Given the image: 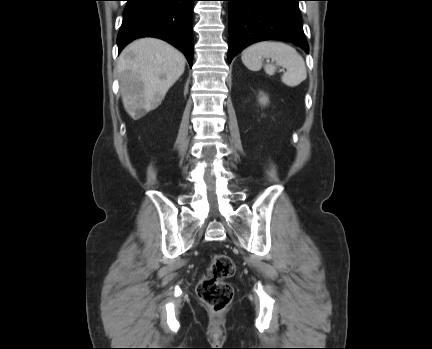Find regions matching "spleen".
I'll use <instances>...</instances> for the list:
<instances>
[{
	"label": "spleen",
	"instance_id": "spleen-1",
	"mask_svg": "<svg viewBox=\"0 0 432 349\" xmlns=\"http://www.w3.org/2000/svg\"><path fill=\"white\" fill-rule=\"evenodd\" d=\"M262 58H271L274 64H263ZM243 64L252 71H259L264 67L268 75H274L278 66L286 69L282 75V82L295 87L307 78L304 59L290 45L282 42L262 41L255 43L242 52Z\"/></svg>",
	"mask_w": 432,
	"mask_h": 349
}]
</instances>
